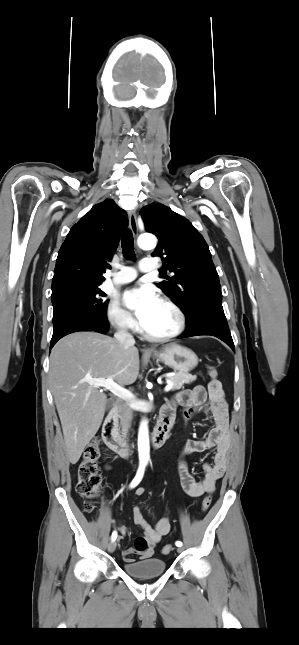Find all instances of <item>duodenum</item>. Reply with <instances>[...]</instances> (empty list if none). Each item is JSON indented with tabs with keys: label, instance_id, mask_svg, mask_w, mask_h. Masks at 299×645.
<instances>
[{
	"label": "duodenum",
	"instance_id": "410a0bca",
	"mask_svg": "<svg viewBox=\"0 0 299 645\" xmlns=\"http://www.w3.org/2000/svg\"><path fill=\"white\" fill-rule=\"evenodd\" d=\"M174 418L169 412L167 406H164L160 413L159 422L152 434L153 446L161 447L169 437L170 430L173 426ZM102 437L105 444L114 452L122 457H128L130 447L121 437L118 430V408L114 407L108 414L102 431Z\"/></svg>",
	"mask_w": 299,
	"mask_h": 645
}]
</instances>
